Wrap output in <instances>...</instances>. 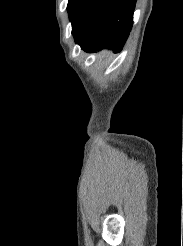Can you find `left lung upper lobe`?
Instances as JSON below:
<instances>
[{"label": "left lung upper lobe", "mask_w": 183, "mask_h": 246, "mask_svg": "<svg viewBox=\"0 0 183 246\" xmlns=\"http://www.w3.org/2000/svg\"><path fill=\"white\" fill-rule=\"evenodd\" d=\"M71 1H72V0H69V1H68V6H69V4H70ZM68 6H67V8H68Z\"/></svg>", "instance_id": "5c2ea615"}]
</instances>
